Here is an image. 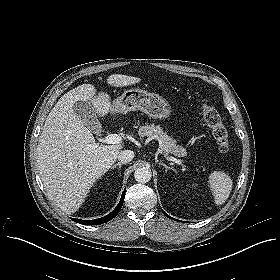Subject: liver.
I'll list each match as a JSON object with an SVG mask.
<instances>
[{
    "label": "liver",
    "mask_w": 280,
    "mask_h": 280,
    "mask_svg": "<svg viewBox=\"0 0 280 280\" xmlns=\"http://www.w3.org/2000/svg\"><path fill=\"white\" fill-rule=\"evenodd\" d=\"M140 78L113 74L107 83L114 87L139 83ZM90 101L99 116L123 113L109 96L92 84H82L64 94L48 114L37 146V168L50 200L67 214L77 211L87 193L115 163L122 144L99 145L74 114L73 105Z\"/></svg>",
    "instance_id": "1"
}]
</instances>
